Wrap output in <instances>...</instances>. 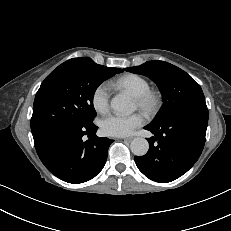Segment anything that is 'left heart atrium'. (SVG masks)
Segmentation results:
<instances>
[{"label": "left heart atrium", "instance_id": "left-heart-atrium-1", "mask_svg": "<svg viewBox=\"0 0 231 231\" xmlns=\"http://www.w3.org/2000/svg\"><path fill=\"white\" fill-rule=\"evenodd\" d=\"M143 123L144 118L139 113L132 115L110 114L101 121V129L108 136L122 137L130 135Z\"/></svg>", "mask_w": 231, "mask_h": 231}]
</instances>
